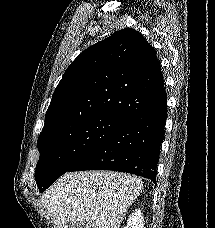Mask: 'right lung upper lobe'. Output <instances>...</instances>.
<instances>
[{"label": "right lung upper lobe", "instance_id": "cb5924a9", "mask_svg": "<svg viewBox=\"0 0 215 228\" xmlns=\"http://www.w3.org/2000/svg\"><path fill=\"white\" fill-rule=\"evenodd\" d=\"M167 98L154 48L124 28L84 50L56 87L41 133L85 119H127Z\"/></svg>", "mask_w": 215, "mask_h": 228}]
</instances>
